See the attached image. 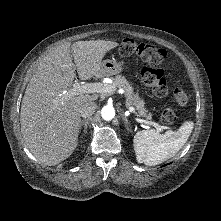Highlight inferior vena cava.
<instances>
[{
    "mask_svg": "<svg viewBox=\"0 0 221 221\" xmlns=\"http://www.w3.org/2000/svg\"><path fill=\"white\" fill-rule=\"evenodd\" d=\"M97 105L95 102H87L80 109V115L84 118L90 117L96 111Z\"/></svg>",
    "mask_w": 221,
    "mask_h": 221,
    "instance_id": "obj_1",
    "label": "inferior vena cava"
}]
</instances>
